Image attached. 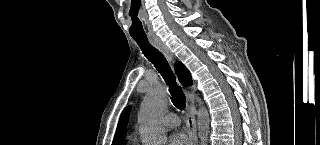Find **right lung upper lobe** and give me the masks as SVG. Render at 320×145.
Segmentation results:
<instances>
[{"mask_svg": "<svg viewBox=\"0 0 320 145\" xmlns=\"http://www.w3.org/2000/svg\"><path fill=\"white\" fill-rule=\"evenodd\" d=\"M175 71L178 75L179 81L183 85H186V86L192 85L191 74L188 71V69L180 61H177L175 63ZM129 109H130V106L125 108L120 116L112 145H121L123 139L126 136L125 129L129 119Z\"/></svg>", "mask_w": 320, "mask_h": 145, "instance_id": "1", "label": "right lung upper lobe"}]
</instances>
